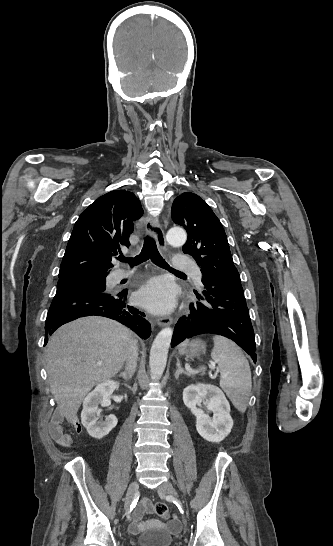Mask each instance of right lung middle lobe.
I'll return each instance as SVG.
<instances>
[{
  "label": "right lung middle lobe",
  "instance_id": "obj_1",
  "mask_svg": "<svg viewBox=\"0 0 333 546\" xmlns=\"http://www.w3.org/2000/svg\"><path fill=\"white\" fill-rule=\"evenodd\" d=\"M106 276L107 275H95L59 280L57 284L56 295L71 291L82 290H97L104 292L106 290Z\"/></svg>",
  "mask_w": 333,
  "mask_h": 546
}]
</instances>
